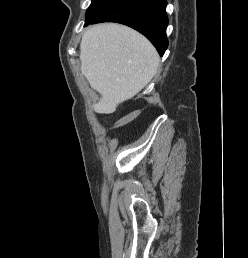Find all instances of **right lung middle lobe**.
<instances>
[{
    "label": "right lung middle lobe",
    "mask_w": 248,
    "mask_h": 258,
    "mask_svg": "<svg viewBox=\"0 0 248 258\" xmlns=\"http://www.w3.org/2000/svg\"><path fill=\"white\" fill-rule=\"evenodd\" d=\"M117 0H92L86 12V20H93L101 15L105 10L112 6Z\"/></svg>",
    "instance_id": "dd1d6c3e"
}]
</instances>
